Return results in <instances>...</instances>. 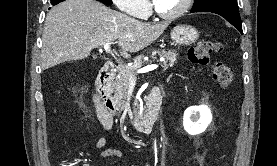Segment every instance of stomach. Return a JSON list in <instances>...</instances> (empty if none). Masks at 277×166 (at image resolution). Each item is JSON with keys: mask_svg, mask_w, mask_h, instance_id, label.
<instances>
[{"mask_svg": "<svg viewBox=\"0 0 277 166\" xmlns=\"http://www.w3.org/2000/svg\"><path fill=\"white\" fill-rule=\"evenodd\" d=\"M198 38V30L191 25H177L171 31V39L176 45L188 46L197 41Z\"/></svg>", "mask_w": 277, "mask_h": 166, "instance_id": "stomach-1", "label": "stomach"}]
</instances>
